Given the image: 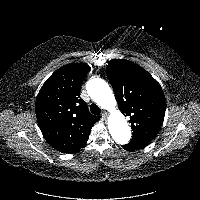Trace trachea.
<instances>
[{
  "label": "trachea",
  "instance_id": "3493384b",
  "mask_svg": "<svg viewBox=\"0 0 200 200\" xmlns=\"http://www.w3.org/2000/svg\"><path fill=\"white\" fill-rule=\"evenodd\" d=\"M90 111L94 115H99L101 113V109L96 104L90 105Z\"/></svg>",
  "mask_w": 200,
  "mask_h": 200
}]
</instances>
